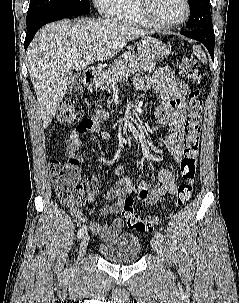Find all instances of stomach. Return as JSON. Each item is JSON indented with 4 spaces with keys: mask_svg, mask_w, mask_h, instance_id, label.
I'll list each match as a JSON object with an SVG mask.
<instances>
[{
    "mask_svg": "<svg viewBox=\"0 0 239 303\" xmlns=\"http://www.w3.org/2000/svg\"><path fill=\"white\" fill-rule=\"evenodd\" d=\"M137 49L147 60L157 61L169 54V47L156 38L145 36L138 42Z\"/></svg>",
    "mask_w": 239,
    "mask_h": 303,
    "instance_id": "0dacf381",
    "label": "stomach"
}]
</instances>
